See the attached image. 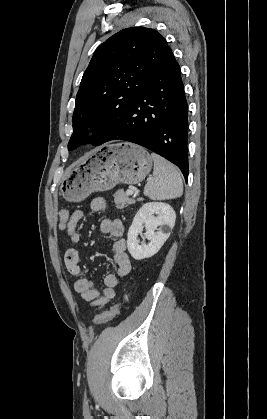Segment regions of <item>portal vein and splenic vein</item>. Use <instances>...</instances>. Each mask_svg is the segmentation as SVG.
Instances as JSON below:
<instances>
[{"instance_id": "portal-vein-and-splenic-vein-1", "label": "portal vein and splenic vein", "mask_w": 267, "mask_h": 419, "mask_svg": "<svg viewBox=\"0 0 267 419\" xmlns=\"http://www.w3.org/2000/svg\"><path fill=\"white\" fill-rule=\"evenodd\" d=\"M134 192H135V193H137V191L127 190V191H126V194H127V195H133V194H134Z\"/></svg>"}]
</instances>
